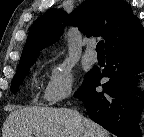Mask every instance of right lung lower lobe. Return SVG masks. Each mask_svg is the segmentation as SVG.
Returning a JSON list of instances; mask_svg holds the SVG:
<instances>
[{"label": "right lung lower lobe", "instance_id": "obj_1", "mask_svg": "<svg viewBox=\"0 0 144 137\" xmlns=\"http://www.w3.org/2000/svg\"><path fill=\"white\" fill-rule=\"evenodd\" d=\"M141 57L144 60V33L132 41L106 52L107 67L92 69L90 78L76 96L87 109L88 115L98 124L118 137H140L138 133L140 111L144 105V92L135 88ZM103 90L96 91L99 81ZM141 95L140 100L136 95Z\"/></svg>", "mask_w": 144, "mask_h": 137}]
</instances>
